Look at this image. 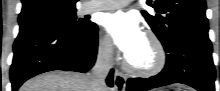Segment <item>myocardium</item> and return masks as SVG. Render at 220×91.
<instances>
[{"mask_svg": "<svg viewBox=\"0 0 220 91\" xmlns=\"http://www.w3.org/2000/svg\"><path fill=\"white\" fill-rule=\"evenodd\" d=\"M144 36L151 42L154 50V61L148 67H136L126 58L124 66L126 70L135 76L150 77L160 73L166 65L167 54L160 38L152 31L145 32Z\"/></svg>", "mask_w": 220, "mask_h": 91, "instance_id": "obj_1", "label": "myocardium"}]
</instances>
